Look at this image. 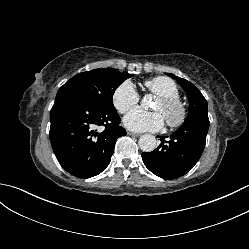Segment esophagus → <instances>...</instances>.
Listing matches in <instances>:
<instances>
[{"label":"esophagus","mask_w":249,"mask_h":249,"mask_svg":"<svg viewBox=\"0 0 249 249\" xmlns=\"http://www.w3.org/2000/svg\"><path fill=\"white\" fill-rule=\"evenodd\" d=\"M127 134L130 135V136H135V137L140 136V134L134 133V132H131V131H128Z\"/></svg>","instance_id":"1"}]
</instances>
